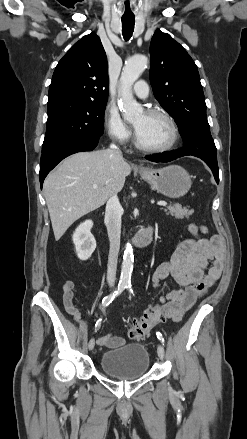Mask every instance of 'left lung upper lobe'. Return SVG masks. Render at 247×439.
Returning <instances> with one entry per match:
<instances>
[{
  "label": "left lung upper lobe",
  "instance_id": "5c2ea615",
  "mask_svg": "<svg viewBox=\"0 0 247 439\" xmlns=\"http://www.w3.org/2000/svg\"><path fill=\"white\" fill-rule=\"evenodd\" d=\"M150 59L154 96L175 119L184 140L182 151L202 159L211 170L218 169L196 64L178 42L160 30L152 37Z\"/></svg>",
  "mask_w": 247,
  "mask_h": 439
}]
</instances>
